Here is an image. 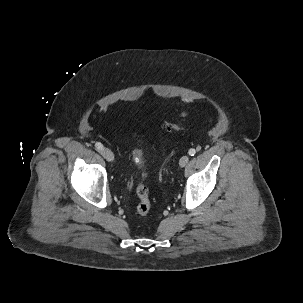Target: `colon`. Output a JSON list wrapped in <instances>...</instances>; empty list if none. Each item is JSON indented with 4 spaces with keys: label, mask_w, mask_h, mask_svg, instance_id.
<instances>
[{
    "label": "colon",
    "mask_w": 303,
    "mask_h": 303,
    "mask_svg": "<svg viewBox=\"0 0 303 303\" xmlns=\"http://www.w3.org/2000/svg\"><path fill=\"white\" fill-rule=\"evenodd\" d=\"M164 126L168 130H179L182 129V126L177 123H171V122H165ZM146 177V174H143V178ZM136 195L139 199V203L137 205V213L145 217L149 214L150 209H151V201H150V194H149V189L146 186V184L142 181L140 182L137 187H136Z\"/></svg>",
    "instance_id": "1"
}]
</instances>
